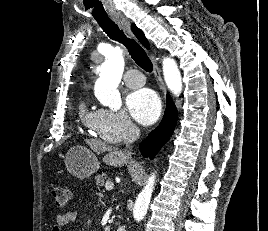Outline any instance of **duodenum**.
Segmentation results:
<instances>
[{"label": "duodenum", "instance_id": "410a0bca", "mask_svg": "<svg viewBox=\"0 0 268 231\" xmlns=\"http://www.w3.org/2000/svg\"><path fill=\"white\" fill-rule=\"evenodd\" d=\"M116 231H127V229L124 225H122V226H119Z\"/></svg>", "mask_w": 268, "mask_h": 231}]
</instances>
